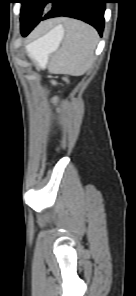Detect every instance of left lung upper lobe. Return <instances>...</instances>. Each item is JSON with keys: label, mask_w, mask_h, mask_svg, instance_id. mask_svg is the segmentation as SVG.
I'll use <instances>...</instances> for the list:
<instances>
[{"label": "left lung upper lobe", "mask_w": 136, "mask_h": 296, "mask_svg": "<svg viewBox=\"0 0 136 296\" xmlns=\"http://www.w3.org/2000/svg\"><path fill=\"white\" fill-rule=\"evenodd\" d=\"M52 0H24L21 2L25 6L22 8L21 29H25L39 23L43 16V9Z\"/></svg>", "instance_id": "5c2ea615"}]
</instances>
